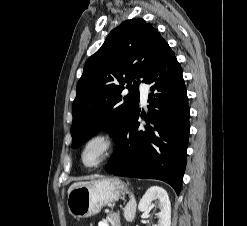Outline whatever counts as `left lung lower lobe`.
<instances>
[{
	"label": "left lung lower lobe",
	"instance_id": "obj_1",
	"mask_svg": "<svg viewBox=\"0 0 247 226\" xmlns=\"http://www.w3.org/2000/svg\"><path fill=\"white\" fill-rule=\"evenodd\" d=\"M150 85L148 118L141 127L139 107L115 140L112 163L116 176L158 179L179 194L186 166L189 138L188 98L182 68L166 44L146 75ZM142 116V115H141Z\"/></svg>",
	"mask_w": 247,
	"mask_h": 226
}]
</instances>
